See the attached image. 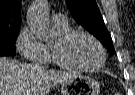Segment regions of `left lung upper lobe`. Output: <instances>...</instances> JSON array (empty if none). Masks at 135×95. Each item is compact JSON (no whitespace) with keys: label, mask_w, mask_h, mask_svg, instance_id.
<instances>
[{"label":"left lung upper lobe","mask_w":135,"mask_h":95,"mask_svg":"<svg viewBox=\"0 0 135 95\" xmlns=\"http://www.w3.org/2000/svg\"><path fill=\"white\" fill-rule=\"evenodd\" d=\"M69 10L78 24L92 33L110 52L115 53L110 33L95 0H67Z\"/></svg>","instance_id":"1"}]
</instances>
